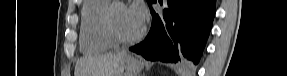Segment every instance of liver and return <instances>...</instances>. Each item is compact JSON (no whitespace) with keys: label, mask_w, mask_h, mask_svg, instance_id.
<instances>
[{"label":"liver","mask_w":287,"mask_h":76,"mask_svg":"<svg viewBox=\"0 0 287 76\" xmlns=\"http://www.w3.org/2000/svg\"><path fill=\"white\" fill-rule=\"evenodd\" d=\"M126 52L84 57L76 63L75 76H114Z\"/></svg>","instance_id":"liver-1"}]
</instances>
